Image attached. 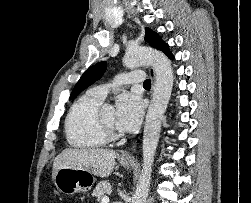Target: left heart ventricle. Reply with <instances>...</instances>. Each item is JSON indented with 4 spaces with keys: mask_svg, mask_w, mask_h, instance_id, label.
I'll use <instances>...</instances> for the list:
<instances>
[{
    "mask_svg": "<svg viewBox=\"0 0 251 203\" xmlns=\"http://www.w3.org/2000/svg\"><path fill=\"white\" fill-rule=\"evenodd\" d=\"M102 117L108 125H110L115 130L119 131L118 128L116 127V112H115V110L110 109V110L104 111L102 113Z\"/></svg>",
    "mask_w": 251,
    "mask_h": 203,
    "instance_id": "left-heart-ventricle-1",
    "label": "left heart ventricle"
}]
</instances>
